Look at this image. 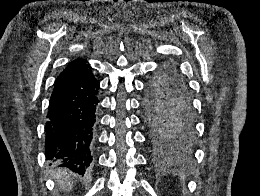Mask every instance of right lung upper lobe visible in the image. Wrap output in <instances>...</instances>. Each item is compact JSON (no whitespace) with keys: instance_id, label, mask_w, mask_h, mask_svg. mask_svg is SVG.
Instances as JSON below:
<instances>
[{"instance_id":"1","label":"right lung upper lobe","mask_w":260,"mask_h":196,"mask_svg":"<svg viewBox=\"0 0 260 196\" xmlns=\"http://www.w3.org/2000/svg\"><path fill=\"white\" fill-rule=\"evenodd\" d=\"M87 69H89V65L86 61L82 59H76L73 62H71L63 72L57 77V79L72 76L75 74H79L82 72H85Z\"/></svg>"}]
</instances>
